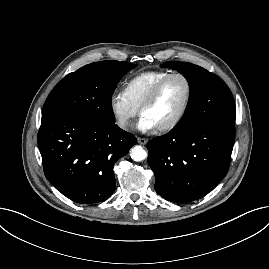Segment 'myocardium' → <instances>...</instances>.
Returning <instances> with one entry per match:
<instances>
[{
  "label": "myocardium",
  "mask_w": 269,
  "mask_h": 269,
  "mask_svg": "<svg viewBox=\"0 0 269 269\" xmlns=\"http://www.w3.org/2000/svg\"><path fill=\"white\" fill-rule=\"evenodd\" d=\"M174 77H180L182 78L187 86V97H186V101L184 103V106L182 107L181 111L178 113V115L169 123L162 125L160 127H156L157 131L159 132H168L173 130L174 128H176L181 121L184 119V117L186 116L191 102H192V98H193V85L191 80L189 79L188 76H186L183 73L180 72H174V73H170L167 76H165L164 78H162L150 91V93L148 94V96L146 97V99L143 101V103L141 104L140 108H139V113L142 115V113L144 112L145 109H147L148 107H150L155 100L157 99L161 89L163 88V86L166 84L167 81H169L171 78Z\"/></svg>",
  "instance_id": "myocardium-1"
}]
</instances>
